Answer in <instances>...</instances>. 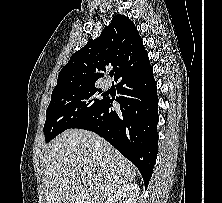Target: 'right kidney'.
I'll use <instances>...</instances> for the list:
<instances>
[{
  "instance_id": "ca27d5eb",
  "label": "right kidney",
  "mask_w": 222,
  "mask_h": 203,
  "mask_svg": "<svg viewBox=\"0 0 222 203\" xmlns=\"http://www.w3.org/2000/svg\"><path fill=\"white\" fill-rule=\"evenodd\" d=\"M140 188L136 183L124 184L105 203H136Z\"/></svg>"
}]
</instances>
